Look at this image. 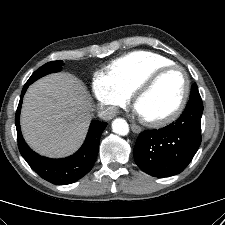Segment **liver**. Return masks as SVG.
<instances>
[{"label": "liver", "mask_w": 225, "mask_h": 225, "mask_svg": "<svg viewBox=\"0 0 225 225\" xmlns=\"http://www.w3.org/2000/svg\"><path fill=\"white\" fill-rule=\"evenodd\" d=\"M93 103L84 84L69 73H55L34 82L21 111V129L28 145L49 157H64L82 144Z\"/></svg>", "instance_id": "6515ba94"}]
</instances>
